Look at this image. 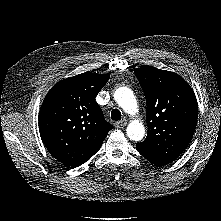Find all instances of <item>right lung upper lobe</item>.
Instances as JSON below:
<instances>
[{
    "mask_svg": "<svg viewBox=\"0 0 221 221\" xmlns=\"http://www.w3.org/2000/svg\"><path fill=\"white\" fill-rule=\"evenodd\" d=\"M109 77L85 72L61 80L47 93L39 112L40 136L50 154L62 164L85 163L112 129L95 101Z\"/></svg>",
    "mask_w": 221,
    "mask_h": 221,
    "instance_id": "cb5924a9",
    "label": "right lung upper lobe"
}]
</instances>
